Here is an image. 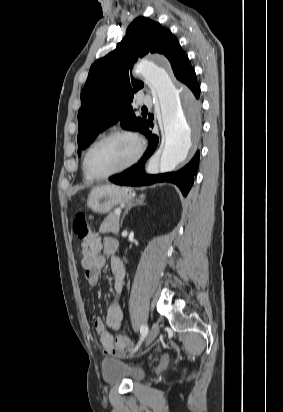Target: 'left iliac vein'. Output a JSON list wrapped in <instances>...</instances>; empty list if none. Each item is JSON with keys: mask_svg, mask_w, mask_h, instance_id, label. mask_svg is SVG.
I'll return each instance as SVG.
<instances>
[{"mask_svg": "<svg viewBox=\"0 0 283 412\" xmlns=\"http://www.w3.org/2000/svg\"><path fill=\"white\" fill-rule=\"evenodd\" d=\"M158 333L159 324L155 322L148 333L146 344L149 345L157 337Z\"/></svg>", "mask_w": 283, "mask_h": 412, "instance_id": "4c4485c4", "label": "left iliac vein"}]
</instances>
